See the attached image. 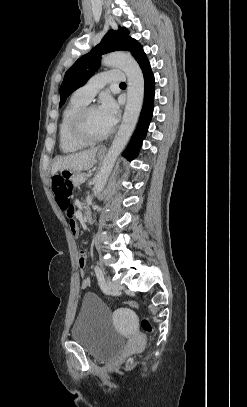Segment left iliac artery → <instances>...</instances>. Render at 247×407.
<instances>
[{
	"label": "left iliac artery",
	"mask_w": 247,
	"mask_h": 407,
	"mask_svg": "<svg viewBox=\"0 0 247 407\" xmlns=\"http://www.w3.org/2000/svg\"><path fill=\"white\" fill-rule=\"evenodd\" d=\"M94 270H95V274H96V277H97V280H98V283H99V286H100L101 290L105 294H108L110 291H109V288L107 287V285L105 283L104 274H103L102 270L100 269L99 266H95Z\"/></svg>",
	"instance_id": "obj_1"
}]
</instances>
